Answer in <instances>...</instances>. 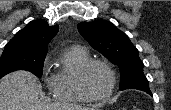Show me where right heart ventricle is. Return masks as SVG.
<instances>
[{"label": "right heart ventricle", "instance_id": "1", "mask_svg": "<svg viewBox=\"0 0 171 110\" xmlns=\"http://www.w3.org/2000/svg\"><path fill=\"white\" fill-rule=\"evenodd\" d=\"M90 59L88 51L80 46H71L62 53L59 67L49 82V89L54 99L70 103L89 101L78 90L77 74Z\"/></svg>", "mask_w": 171, "mask_h": 110}]
</instances>
